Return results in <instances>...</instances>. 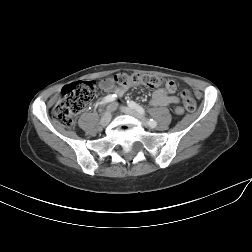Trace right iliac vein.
Segmentation results:
<instances>
[{
    "label": "right iliac vein",
    "instance_id": "right-iliac-vein-1",
    "mask_svg": "<svg viewBox=\"0 0 252 252\" xmlns=\"http://www.w3.org/2000/svg\"><path fill=\"white\" fill-rule=\"evenodd\" d=\"M110 120H111V110L108 109V110L103 114V116H102V118H101V120H100V125H101L102 127H105V126H107V125L109 124Z\"/></svg>",
    "mask_w": 252,
    "mask_h": 252
}]
</instances>
